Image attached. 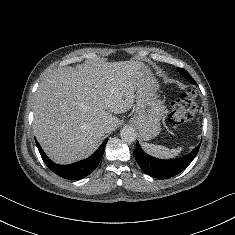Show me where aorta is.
<instances>
[{"mask_svg": "<svg viewBox=\"0 0 235 235\" xmlns=\"http://www.w3.org/2000/svg\"><path fill=\"white\" fill-rule=\"evenodd\" d=\"M120 136L124 142L132 143L136 140L137 134L133 128L128 127L120 131Z\"/></svg>", "mask_w": 235, "mask_h": 235, "instance_id": "1", "label": "aorta"}]
</instances>
